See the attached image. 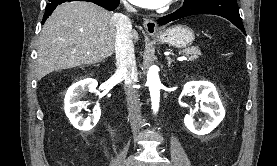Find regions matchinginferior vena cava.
<instances>
[{
	"mask_svg": "<svg viewBox=\"0 0 277 166\" xmlns=\"http://www.w3.org/2000/svg\"><path fill=\"white\" fill-rule=\"evenodd\" d=\"M124 6L128 12L136 11L126 2H124ZM114 19L116 20V65L125 80V94L129 119L132 131L135 134L139 131L141 125V105L137 91L133 87L137 81V67L131 37L132 24L129 17L121 13L115 14Z\"/></svg>",
	"mask_w": 277,
	"mask_h": 166,
	"instance_id": "obj_1",
	"label": "inferior vena cava"
}]
</instances>
